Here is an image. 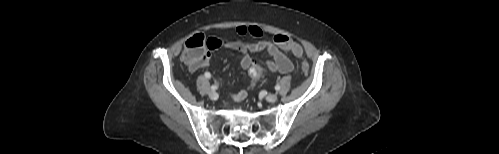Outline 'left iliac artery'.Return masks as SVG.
I'll return each mask as SVG.
<instances>
[{"instance_id":"44dca946","label":"left iliac artery","mask_w":499,"mask_h":154,"mask_svg":"<svg viewBox=\"0 0 499 154\" xmlns=\"http://www.w3.org/2000/svg\"><path fill=\"white\" fill-rule=\"evenodd\" d=\"M275 90H276V91H279V90H280V86H279V85H276V86H275Z\"/></svg>"}]
</instances>
